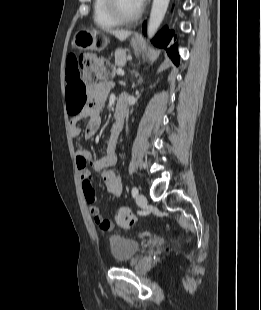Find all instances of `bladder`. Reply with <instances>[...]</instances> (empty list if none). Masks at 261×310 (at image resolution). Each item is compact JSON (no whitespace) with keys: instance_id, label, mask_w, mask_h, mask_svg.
Wrapping results in <instances>:
<instances>
[{"instance_id":"31cf9c89","label":"bladder","mask_w":261,"mask_h":310,"mask_svg":"<svg viewBox=\"0 0 261 310\" xmlns=\"http://www.w3.org/2000/svg\"><path fill=\"white\" fill-rule=\"evenodd\" d=\"M108 243L111 256L116 263L131 260L141 248V243L138 240L117 233L109 237Z\"/></svg>"}]
</instances>
